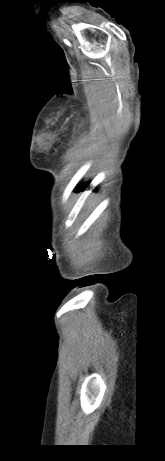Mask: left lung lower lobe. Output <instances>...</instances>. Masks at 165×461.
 <instances>
[{
    "label": "left lung lower lobe",
    "instance_id": "0a47b994",
    "mask_svg": "<svg viewBox=\"0 0 165 461\" xmlns=\"http://www.w3.org/2000/svg\"><path fill=\"white\" fill-rule=\"evenodd\" d=\"M87 186H88V184L84 185L82 188H80V190L84 189V188L87 187Z\"/></svg>",
    "mask_w": 165,
    "mask_h": 461
}]
</instances>
